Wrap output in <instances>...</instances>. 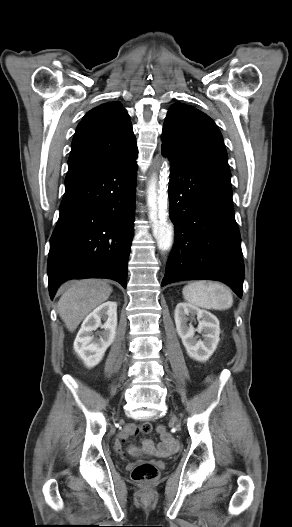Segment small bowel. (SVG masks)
I'll use <instances>...</instances> for the list:
<instances>
[{
  "label": "small bowel",
  "instance_id": "1",
  "mask_svg": "<svg viewBox=\"0 0 292 527\" xmlns=\"http://www.w3.org/2000/svg\"><path fill=\"white\" fill-rule=\"evenodd\" d=\"M152 430V426L150 424V430L147 432L149 433ZM138 432H143L141 430V426L138 427L134 424L127 425L122 432L119 434L118 439L115 441L114 448L117 452L122 453V445L123 443L132 435L137 434ZM156 432L158 435L161 436V442L155 446L154 443L149 440L145 439L142 442V448L139 447H131L130 452L133 454L139 453L141 450L146 451L145 457L148 460H152L155 457L154 452L159 453V457L161 459L166 458L167 460H172L174 458V453L178 449V443L177 441L172 438L167 432L168 429L166 427L165 422L160 421L157 424Z\"/></svg>",
  "mask_w": 292,
  "mask_h": 527
}]
</instances>
